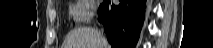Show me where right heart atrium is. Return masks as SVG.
Here are the masks:
<instances>
[{
  "label": "right heart atrium",
  "instance_id": "right-heart-atrium-1",
  "mask_svg": "<svg viewBox=\"0 0 213 48\" xmlns=\"http://www.w3.org/2000/svg\"><path fill=\"white\" fill-rule=\"evenodd\" d=\"M94 7L92 0H79L70 7V15L75 22H87L93 16Z\"/></svg>",
  "mask_w": 213,
  "mask_h": 48
}]
</instances>
